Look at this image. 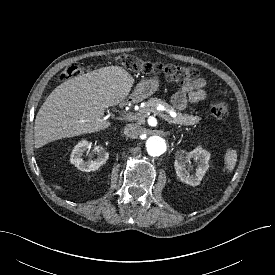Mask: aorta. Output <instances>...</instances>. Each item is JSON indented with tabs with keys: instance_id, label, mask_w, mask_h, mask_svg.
<instances>
[{
	"instance_id": "obj_1",
	"label": "aorta",
	"mask_w": 275,
	"mask_h": 275,
	"mask_svg": "<svg viewBox=\"0 0 275 275\" xmlns=\"http://www.w3.org/2000/svg\"><path fill=\"white\" fill-rule=\"evenodd\" d=\"M146 149L151 156H160L166 149V141L160 136H151L146 141Z\"/></svg>"
}]
</instances>
